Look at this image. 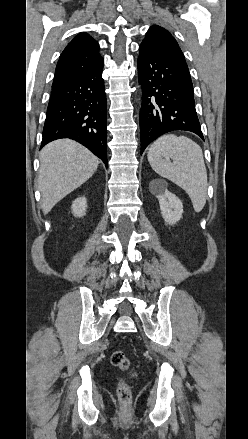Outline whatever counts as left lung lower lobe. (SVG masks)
I'll return each mask as SVG.
<instances>
[{"mask_svg": "<svg viewBox=\"0 0 248 439\" xmlns=\"http://www.w3.org/2000/svg\"><path fill=\"white\" fill-rule=\"evenodd\" d=\"M139 51L141 154L152 141L174 130L191 131L204 140L185 60L143 43Z\"/></svg>", "mask_w": 248, "mask_h": 439, "instance_id": "obj_1", "label": "left lung lower lobe"}]
</instances>
